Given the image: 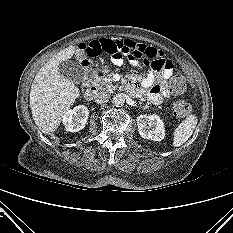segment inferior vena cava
<instances>
[{
    "label": "inferior vena cava",
    "mask_w": 233,
    "mask_h": 233,
    "mask_svg": "<svg viewBox=\"0 0 233 233\" xmlns=\"http://www.w3.org/2000/svg\"><path fill=\"white\" fill-rule=\"evenodd\" d=\"M110 95L106 92H99L95 95V102L96 103H103L108 101Z\"/></svg>",
    "instance_id": "1"
}]
</instances>
